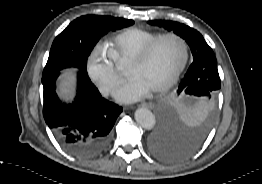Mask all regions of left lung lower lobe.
Instances as JSON below:
<instances>
[{"mask_svg":"<svg viewBox=\"0 0 262 184\" xmlns=\"http://www.w3.org/2000/svg\"><path fill=\"white\" fill-rule=\"evenodd\" d=\"M197 63L217 68L215 55L203 57ZM206 134L207 131L194 136L179 135L174 129L161 121L150 137L148 146L152 154L158 159L177 162L195 154L204 143Z\"/></svg>","mask_w":262,"mask_h":184,"instance_id":"1","label":"left lung lower lobe"}]
</instances>
